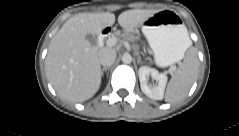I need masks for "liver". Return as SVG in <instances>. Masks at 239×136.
<instances>
[{"label":"liver","instance_id":"6515ba94","mask_svg":"<svg viewBox=\"0 0 239 136\" xmlns=\"http://www.w3.org/2000/svg\"><path fill=\"white\" fill-rule=\"evenodd\" d=\"M157 10H128L118 16L129 31L140 26ZM115 23L113 13H79L69 18L52 38L46 57L47 77L57 94L69 102H84L95 95L101 83L99 50L85 38L97 35Z\"/></svg>","mask_w":239,"mask_h":136}]
</instances>
